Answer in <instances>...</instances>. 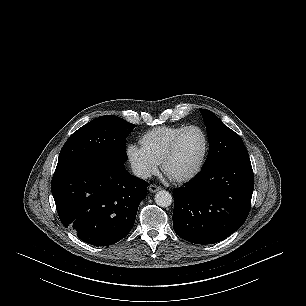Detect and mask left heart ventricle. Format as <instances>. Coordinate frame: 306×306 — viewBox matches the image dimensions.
<instances>
[{"label":"left heart ventricle","mask_w":306,"mask_h":306,"mask_svg":"<svg viewBox=\"0 0 306 306\" xmlns=\"http://www.w3.org/2000/svg\"><path fill=\"white\" fill-rule=\"evenodd\" d=\"M204 151V138L197 129L188 130L180 140L176 154L168 162L166 173L177 178L191 173L199 164Z\"/></svg>","instance_id":"left-heart-ventricle-1"}]
</instances>
